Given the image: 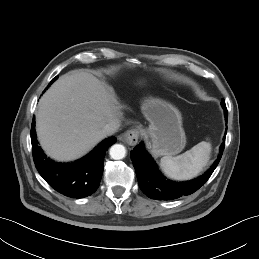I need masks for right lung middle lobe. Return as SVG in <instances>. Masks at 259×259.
<instances>
[{
	"mask_svg": "<svg viewBox=\"0 0 259 259\" xmlns=\"http://www.w3.org/2000/svg\"><path fill=\"white\" fill-rule=\"evenodd\" d=\"M57 77L58 76H56L55 78H53L52 80H51V83L53 82V81H55L56 79H57ZM50 85V84H49Z\"/></svg>",
	"mask_w": 259,
	"mask_h": 259,
	"instance_id": "dd1d6c3e",
	"label": "right lung middle lobe"
}]
</instances>
